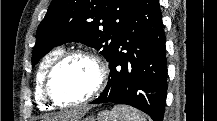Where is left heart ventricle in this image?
<instances>
[{
  "label": "left heart ventricle",
  "instance_id": "obj_1",
  "mask_svg": "<svg viewBox=\"0 0 217 121\" xmlns=\"http://www.w3.org/2000/svg\"><path fill=\"white\" fill-rule=\"evenodd\" d=\"M98 79L96 65L84 57L72 58L56 72L51 92L62 103H75L87 97Z\"/></svg>",
  "mask_w": 217,
  "mask_h": 121
}]
</instances>
